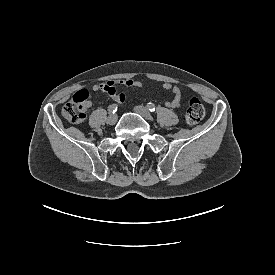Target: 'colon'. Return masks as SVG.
I'll return each instance as SVG.
<instances>
[{"label": "colon", "mask_w": 275, "mask_h": 275, "mask_svg": "<svg viewBox=\"0 0 275 275\" xmlns=\"http://www.w3.org/2000/svg\"><path fill=\"white\" fill-rule=\"evenodd\" d=\"M88 103V91L85 89L80 90L63 106L62 114L69 122L81 123L86 117ZM204 114L205 109L201 101L197 98H191L185 112L186 123L188 125L197 124L203 118Z\"/></svg>", "instance_id": "5ec220e1"}]
</instances>
